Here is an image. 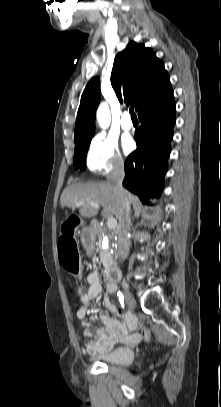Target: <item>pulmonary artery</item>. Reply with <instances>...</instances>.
Returning a JSON list of instances; mask_svg holds the SVG:
<instances>
[{"label": "pulmonary artery", "instance_id": "e3ab8cb5", "mask_svg": "<svg viewBox=\"0 0 221 407\" xmlns=\"http://www.w3.org/2000/svg\"><path fill=\"white\" fill-rule=\"evenodd\" d=\"M121 127L124 130H130L133 127V123L132 120L130 118V115L127 111H125L122 115V119H121Z\"/></svg>", "mask_w": 221, "mask_h": 407}]
</instances>
